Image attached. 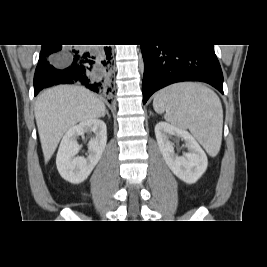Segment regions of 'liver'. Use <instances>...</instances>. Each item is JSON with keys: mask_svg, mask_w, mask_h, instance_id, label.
Instances as JSON below:
<instances>
[{"mask_svg": "<svg viewBox=\"0 0 267 267\" xmlns=\"http://www.w3.org/2000/svg\"><path fill=\"white\" fill-rule=\"evenodd\" d=\"M104 103L88 89L62 85L44 91L35 104V119L45 163L61 138L77 123L103 117Z\"/></svg>", "mask_w": 267, "mask_h": 267, "instance_id": "6515ba94", "label": "liver"}]
</instances>
